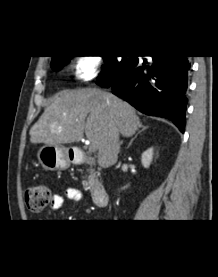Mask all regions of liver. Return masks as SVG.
Segmentation results:
<instances>
[{"label": "liver", "mask_w": 218, "mask_h": 277, "mask_svg": "<svg viewBox=\"0 0 218 277\" xmlns=\"http://www.w3.org/2000/svg\"><path fill=\"white\" fill-rule=\"evenodd\" d=\"M141 126L135 109L115 95L98 89L66 90L46 107L30 130L32 143L60 146L84 135L98 150V164L116 163L119 136H132Z\"/></svg>", "instance_id": "1"}]
</instances>
